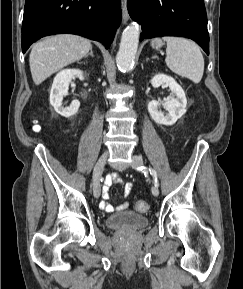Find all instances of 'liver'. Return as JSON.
<instances>
[{
  "mask_svg": "<svg viewBox=\"0 0 243 289\" xmlns=\"http://www.w3.org/2000/svg\"><path fill=\"white\" fill-rule=\"evenodd\" d=\"M91 48L90 40L71 34L55 35L37 42L29 55L34 83L39 85L53 73L82 59Z\"/></svg>",
  "mask_w": 243,
  "mask_h": 289,
  "instance_id": "6515ba94",
  "label": "liver"
}]
</instances>
